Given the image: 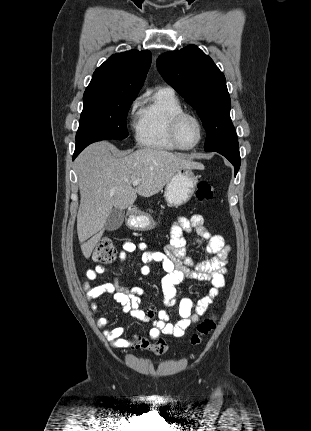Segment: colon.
<instances>
[{"label": "colon", "instance_id": "colon-1", "mask_svg": "<svg viewBox=\"0 0 311 431\" xmlns=\"http://www.w3.org/2000/svg\"><path fill=\"white\" fill-rule=\"evenodd\" d=\"M214 196L213 186L206 180H201L197 184L196 199L199 202H208ZM116 256V248L110 238L104 237L97 244L92 259L98 263H109ZM215 328V318L209 317L200 323L197 332L192 335L191 343L200 344L202 337L210 333ZM130 346L138 350H149L155 354H163L167 351L168 345L163 340L150 341L144 337L135 336L132 338Z\"/></svg>", "mask_w": 311, "mask_h": 431}]
</instances>
